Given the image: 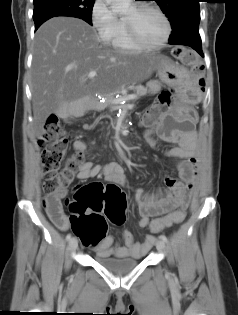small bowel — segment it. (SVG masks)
<instances>
[{
	"label": "small bowel",
	"instance_id": "obj_1",
	"mask_svg": "<svg viewBox=\"0 0 238 315\" xmlns=\"http://www.w3.org/2000/svg\"><path fill=\"white\" fill-rule=\"evenodd\" d=\"M160 136L165 141L177 142L176 146L171 147L166 151V154L171 157L180 159L178 163L179 177L176 181L172 177L166 178L167 185L171 188L172 198L167 201L159 202L155 200L162 189L144 190L136 189L134 196L138 205L139 211V226L147 227L150 218L153 216H170L173 209L179 208L181 220L184 217V210L189 203L193 189L194 179L197 174V160L195 157V142L196 135L193 132H182L176 130L161 131ZM145 139L151 146H155L153 139V131L148 130L145 133ZM85 144L83 141L76 140L73 143L74 151L84 150ZM102 175L105 180L124 185L126 182L123 168L118 163H109L106 165H96L92 162H85L82 164L77 178L79 180H87ZM67 195V191L62 189L54 195L47 196V212L51 221L61 230L66 231L72 224L68 223V218L61 208V200ZM55 199L56 203L51 202ZM177 223H164V228L170 227ZM122 238L125 243L124 246H113V238L106 236L102 238L94 248V251L102 257L116 256V257H142L154 245L155 237L148 234L144 241L139 243L134 240L133 234L124 230Z\"/></svg>",
	"mask_w": 238,
	"mask_h": 315
}]
</instances>
